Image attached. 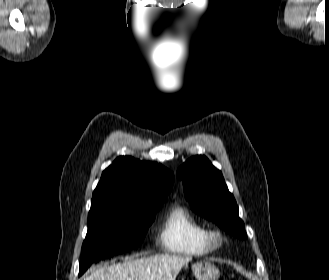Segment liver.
Segmentation results:
<instances>
[{
	"instance_id": "6515ba94",
	"label": "liver",
	"mask_w": 329,
	"mask_h": 280,
	"mask_svg": "<svg viewBox=\"0 0 329 280\" xmlns=\"http://www.w3.org/2000/svg\"><path fill=\"white\" fill-rule=\"evenodd\" d=\"M191 260L189 256L169 254L131 257L123 263L93 269L84 280H175Z\"/></svg>"
}]
</instances>
